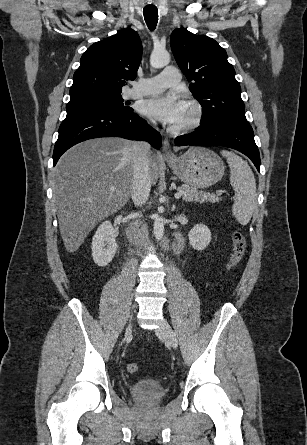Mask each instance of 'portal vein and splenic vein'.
Masks as SVG:
<instances>
[{
  "label": "portal vein and splenic vein",
  "mask_w": 307,
  "mask_h": 445,
  "mask_svg": "<svg viewBox=\"0 0 307 445\" xmlns=\"http://www.w3.org/2000/svg\"><path fill=\"white\" fill-rule=\"evenodd\" d=\"M110 190H115V188H110ZM175 198H180V196H182V192H176V194H174Z\"/></svg>",
  "instance_id": "18ae733b"
}]
</instances>
